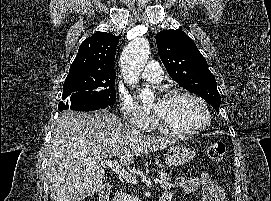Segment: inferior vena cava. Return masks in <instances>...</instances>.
I'll use <instances>...</instances> for the list:
<instances>
[{
    "mask_svg": "<svg viewBox=\"0 0 271 201\" xmlns=\"http://www.w3.org/2000/svg\"><path fill=\"white\" fill-rule=\"evenodd\" d=\"M113 201H130V200L129 196L126 193L120 191L115 193Z\"/></svg>",
    "mask_w": 271,
    "mask_h": 201,
    "instance_id": "602c4592",
    "label": "inferior vena cava"
}]
</instances>
